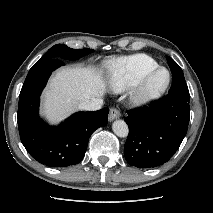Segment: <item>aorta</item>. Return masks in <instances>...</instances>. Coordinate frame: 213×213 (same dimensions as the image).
<instances>
[{"label":"aorta","instance_id":"obj_1","mask_svg":"<svg viewBox=\"0 0 213 213\" xmlns=\"http://www.w3.org/2000/svg\"><path fill=\"white\" fill-rule=\"evenodd\" d=\"M112 129L113 132L118 136V137H127L129 133L128 125L123 121V120H116L112 124Z\"/></svg>","mask_w":213,"mask_h":213}]
</instances>
